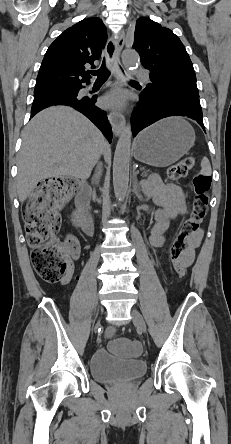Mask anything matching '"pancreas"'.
Returning a JSON list of instances; mask_svg holds the SVG:
<instances>
[{
	"mask_svg": "<svg viewBox=\"0 0 231 444\" xmlns=\"http://www.w3.org/2000/svg\"><path fill=\"white\" fill-rule=\"evenodd\" d=\"M141 171H142V176L143 177H147L149 174H150V170L148 169V168H146V167H142L141 168Z\"/></svg>",
	"mask_w": 231,
	"mask_h": 444,
	"instance_id": "obj_1",
	"label": "pancreas"
}]
</instances>
